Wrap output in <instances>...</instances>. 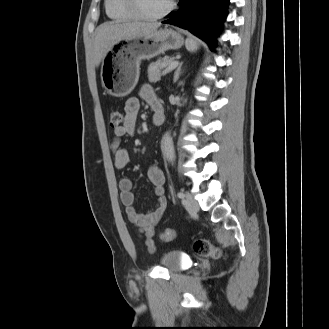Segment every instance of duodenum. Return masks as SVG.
<instances>
[{
    "instance_id": "410a0bca",
    "label": "duodenum",
    "mask_w": 329,
    "mask_h": 329,
    "mask_svg": "<svg viewBox=\"0 0 329 329\" xmlns=\"http://www.w3.org/2000/svg\"><path fill=\"white\" fill-rule=\"evenodd\" d=\"M165 120V114L162 108L160 107H155V114L153 117V123L157 126L163 124Z\"/></svg>"
}]
</instances>
